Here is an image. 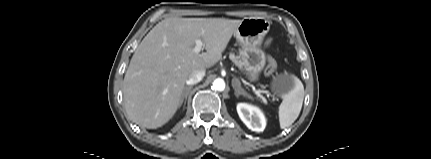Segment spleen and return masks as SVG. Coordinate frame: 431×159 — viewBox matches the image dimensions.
I'll use <instances>...</instances> for the list:
<instances>
[{
	"mask_svg": "<svg viewBox=\"0 0 431 159\" xmlns=\"http://www.w3.org/2000/svg\"><path fill=\"white\" fill-rule=\"evenodd\" d=\"M294 80L295 88L284 97L279 106V122L282 129L292 125L298 118L304 100V86L295 76Z\"/></svg>",
	"mask_w": 431,
	"mask_h": 159,
	"instance_id": "obj_1",
	"label": "spleen"
}]
</instances>
